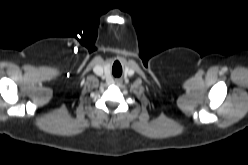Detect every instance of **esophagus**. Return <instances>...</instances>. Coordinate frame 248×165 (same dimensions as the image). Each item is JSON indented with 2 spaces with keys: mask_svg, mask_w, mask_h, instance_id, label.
I'll use <instances>...</instances> for the list:
<instances>
[{
  "mask_svg": "<svg viewBox=\"0 0 248 165\" xmlns=\"http://www.w3.org/2000/svg\"><path fill=\"white\" fill-rule=\"evenodd\" d=\"M115 83H116V84H121V83H122V80L116 79V80H115Z\"/></svg>",
  "mask_w": 248,
  "mask_h": 165,
  "instance_id": "esophagus-1",
  "label": "esophagus"
}]
</instances>
